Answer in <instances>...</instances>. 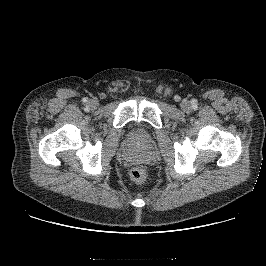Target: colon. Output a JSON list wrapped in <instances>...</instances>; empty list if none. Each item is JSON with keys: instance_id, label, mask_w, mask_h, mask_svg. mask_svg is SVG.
Here are the masks:
<instances>
[{"instance_id": "1", "label": "colon", "mask_w": 266, "mask_h": 266, "mask_svg": "<svg viewBox=\"0 0 266 266\" xmlns=\"http://www.w3.org/2000/svg\"><path fill=\"white\" fill-rule=\"evenodd\" d=\"M130 177L137 184H145L147 181V170L142 166L134 167L130 172Z\"/></svg>"}]
</instances>
